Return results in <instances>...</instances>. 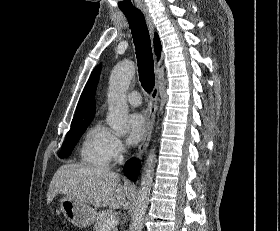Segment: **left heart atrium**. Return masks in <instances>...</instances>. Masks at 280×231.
<instances>
[{"instance_id": "1", "label": "left heart atrium", "mask_w": 280, "mask_h": 231, "mask_svg": "<svg viewBox=\"0 0 280 231\" xmlns=\"http://www.w3.org/2000/svg\"><path fill=\"white\" fill-rule=\"evenodd\" d=\"M146 123L143 116L139 113L131 114L128 117L127 141L131 145L138 144L144 137Z\"/></svg>"}]
</instances>
